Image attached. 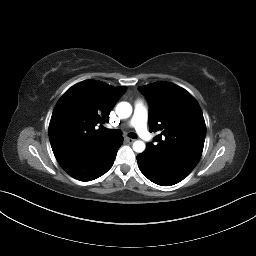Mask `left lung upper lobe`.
<instances>
[{
    "instance_id": "left-lung-upper-lobe-1",
    "label": "left lung upper lobe",
    "mask_w": 256,
    "mask_h": 256,
    "mask_svg": "<svg viewBox=\"0 0 256 256\" xmlns=\"http://www.w3.org/2000/svg\"><path fill=\"white\" fill-rule=\"evenodd\" d=\"M150 106L149 126L158 132L146 150L168 167L189 174L199 162L206 135V125L198 102L185 89L155 82L138 88Z\"/></svg>"
}]
</instances>
